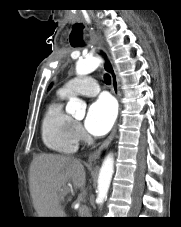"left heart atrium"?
Listing matches in <instances>:
<instances>
[{
    "label": "left heart atrium",
    "instance_id": "obj_1",
    "mask_svg": "<svg viewBox=\"0 0 181 227\" xmlns=\"http://www.w3.org/2000/svg\"><path fill=\"white\" fill-rule=\"evenodd\" d=\"M116 118V106L109 97H100L88 109L85 127L95 136L106 134Z\"/></svg>",
    "mask_w": 181,
    "mask_h": 227
}]
</instances>
